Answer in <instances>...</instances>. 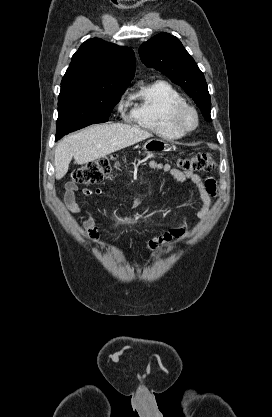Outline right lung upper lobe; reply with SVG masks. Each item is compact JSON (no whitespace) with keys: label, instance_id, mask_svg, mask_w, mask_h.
<instances>
[{"label":"right lung upper lobe","instance_id":"obj_1","mask_svg":"<svg viewBox=\"0 0 272 417\" xmlns=\"http://www.w3.org/2000/svg\"><path fill=\"white\" fill-rule=\"evenodd\" d=\"M135 67L132 49L89 39L72 56L58 99L125 89L134 77Z\"/></svg>","mask_w":272,"mask_h":417}]
</instances>
